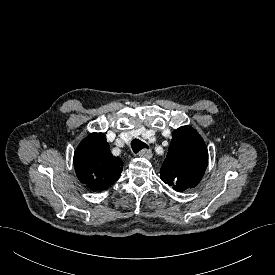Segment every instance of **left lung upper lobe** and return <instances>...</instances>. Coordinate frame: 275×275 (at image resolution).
<instances>
[{
	"label": "left lung upper lobe",
	"mask_w": 275,
	"mask_h": 275,
	"mask_svg": "<svg viewBox=\"0 0 275 275\" xmlns=\"http://www.w3.org/2000/svg\"><path fill=\"white\" fill-rule=\"evenodd\" d=\"M207 163L208 150L201 136L194 128L182 126L173 133L160 170L161 179L174 190L182 192L201 181Z\"/></svg>",
	"instance_id": "5c2ea615"
}]
</instances>
